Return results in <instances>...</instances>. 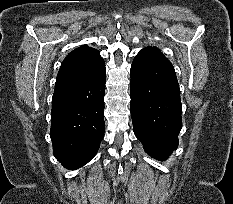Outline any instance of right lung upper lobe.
<instances>
[{"label": "right lung upper lobe", "mask_w": 233, "mask_h": 204, "mask_svg": "<svg viewBox=\"0 0 233 204\" xmlns=\"http://www.w3.org/2000/svg\"><path fill=\"white\" fill-rule=\"evenodd\" d=\"M102 65L104 60L98 50L87 45L75 49L62 62L55 90L89 79Z\"/></svg>", "instance_id": "obj_1"}]
</instances>
